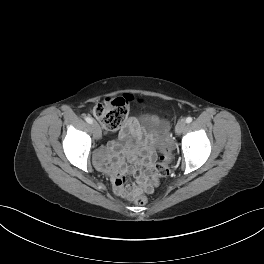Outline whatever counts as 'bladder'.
<instances>
[{
    "label": "bladder",
    "mask_w": 264,
    "mask_h": 264,
    "mask_svg": "<svg viewBox=\"0 0 264 264\" xmlns=\"http://www.w3.org/2000/svg\"><path fill=\"white\" fill-rule=\"evenodd\" d=\"M140 125L142 131L148 135L153 145L157 148L160 147L170 131L169 121L160 116L146 115ZM120 140L124 143L131 144L135 141V138L128 132L122 135Z\"/></svg>",
    "instance_id": "bladder-1"
}]
</instances>
